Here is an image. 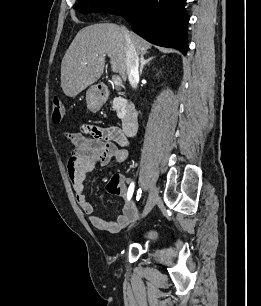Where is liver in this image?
<instances>
[{"instance_id":"1","label":"liver","mask_w":261,"mask_h":306,"mask_svg":"<svg viewBox=\"0 0 261 306\" xmlns=\"http://www.w3.org/2000/svg\"><path fill=\"white\" fill-rule=\"evenodd\" d=\"M130 39L139 55L150 49V44L133 32ZM106 55L111 70L127 79L126 40L122 29L112 23H99L81 29L61 63V87L68 97H75L95 83L103 74Z\"/></svg>"}]
</instances>
